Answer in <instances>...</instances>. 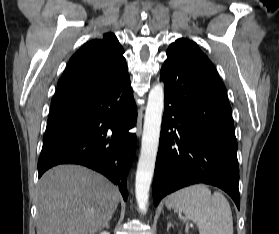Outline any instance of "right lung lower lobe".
<instances>
[{
    "label": "right lung lower lobe",
    "mask_w": 279,
    "mask_h": 234,
    "mask_svg": "<svg viewBox=\"0 0 279 234\" xmlns=\"http://www.w3.org/2000/svg\"><path fill=\"white\" fill-rule=\"evenodd\" d=\"M137 120L128 72L83 94L51 102L39 177L58 164H80L118 185L127 199L126 179L136 149L129 133Z\"/></svg>",
    "instance_id": "right-lung-lower-lobe-1"
}]
</instances>
